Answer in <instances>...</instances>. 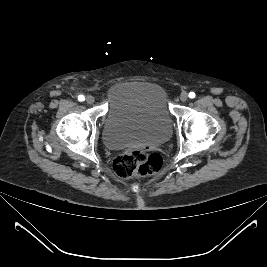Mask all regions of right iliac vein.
<instances>
[{"label":"right iliac vein","instance_id":"obj_1","mask_svg":"<svg viewBox=\"0 0 267 267\" xmlns=\"http://www.w3.org/2000/svg\"><path fill=\"white\" fill-rule=\"evenodd\" d=\"M94 101H95V99H94L93 96L89 95V96L86 97V102H87L88 104H93Z\"/></svg>","mask_w":267,"mask_h":267}]
</instances>
